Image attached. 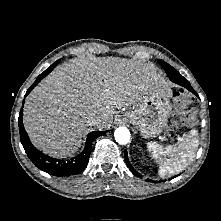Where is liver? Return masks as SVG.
<instances>
[{"mask_svg": "<svg viewBox=\"0 0 221 221\" xmlns=\"http://www.w3.org/2000/svg\"><path fill=\"white\" fill-rule=\"evenodd\" d=\"M169 88L151 63L83 56L57 66L29 94L23 123L34 146L65 158L75 153L88 132L87 121L100 119L105 129L115 109L140 102Z\"/></svg>", "mask_w": 221, "mask_h": 221, "instance_id": "6515ba94", "label": "liver"}]
</instances>
